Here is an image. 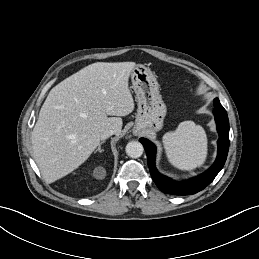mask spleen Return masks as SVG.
<instances>
[{
    "label": "spleen",
    "mask_w": 259,
    "mask_h": 259,
    "mask_svg": "<svg viewBox=\"0 0 259 259\" xmlns=\"http://www.w3.org/2000/svg\"><path fill=\"white\" fill-rule=\"evenodd\" d=\"M169 162L181 170H192L203 165L207 157V136L200 125L184 121L175 131L163 136Z\"/></svg>",
    "instance_id": "obj_1"
}]
</instances>
